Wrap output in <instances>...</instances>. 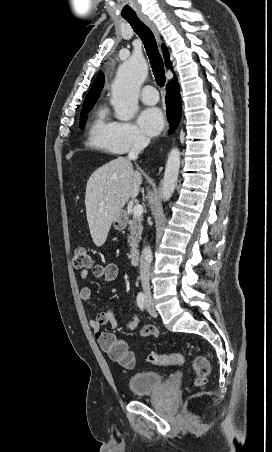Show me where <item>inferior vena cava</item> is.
Here are the masks:
<instances>
[{
    "label": "inferior vena cava",
    "mask_w": 272,
    "mask_h": 452,
    "mask_svg": "<svg viewBox=\"0 0 272 452\" xmlns=\"http://www.w3.org/2000/svg\"><path fill=\"white\" fill-rule=\"evenodd\" d=\"M149 142H150L149 138L141 135L137 136L127 158L129 160H136L139 153L149 144ZM151 261H152V251L149 246H146L143 248L141 253L139 269L141 285L143 288L144 296L147 300H151V291L149 284Z\"/></svg>",
    "instance_id": "602c4592"
}]
</instances>
